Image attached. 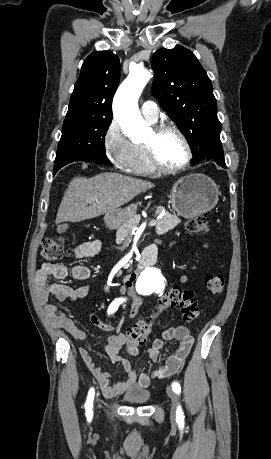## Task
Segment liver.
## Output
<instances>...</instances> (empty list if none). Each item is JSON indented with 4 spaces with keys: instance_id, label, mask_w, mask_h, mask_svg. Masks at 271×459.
Wrapping results in <instances>:
<instances>
[{
    "instance_id": "obj_1",
    "label": "liver",
    "mask_w": 271,
    "mask_h": 459,
    "mask_svg": "<svg viewBox=\"0 0 271 459\" xmlns=\"http://www.w3.org/2000/svg\"><path fill=\"white\" fill-rule=\"evenodd\" d=\"M149 188H153L151 182L111 172L95 178H73L62 198L56 224L82 222L115 212Z\"/></svg>"
}]
</instances>
